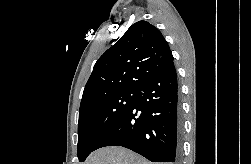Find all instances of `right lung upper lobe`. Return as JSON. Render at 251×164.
Returning <instances> with one entry per match:
<instances>
[{"instance_id":"right-lung-upper-lobe-1","label":"right lung upper lobe","mask_w":251,"mask_h":164,"mask_svg":"<svg viewBox=\"0 0 251 164\" xmlns=\"http://www.w3.org/2000/svg\"><path fill=\"white\" fill-rule=\"evenodd\" d=\"M172 64L171 50L161 32L147 21H138L95 63L80 107L104 94L138 89Z\"/></svg>"}]
</instances>
